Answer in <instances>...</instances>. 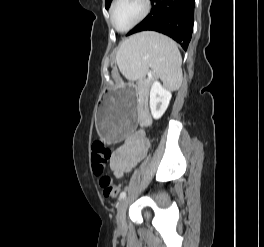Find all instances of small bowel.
<instances>
[{
	"mask_svg": "<svg viewBox=\"0 0 264 247\" xmlns=\"http://www.w3.org/2000/svg\"><path fill=\"white\" fill-rule=\"evenodd\" d=\"M140 124L147 126L151 122L146 112L139 116ZM149 147V139L142 130L129 135L117 148L111 157L110 168L116 178H121L125 173L130 172L146 155Z\"/></svg>",
	"mask_w": 264,
	"mask_h": 247,
	"instance_id": "1",
	"label": "small bowel"
}]
</instances>
